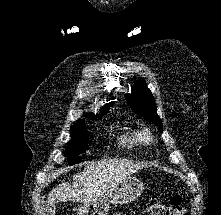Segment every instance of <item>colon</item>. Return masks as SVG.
Returning a JSON list of instances; mask_svg holds the SVG:
<instances>
[{
  "label": "colon",
  "mask_w": 221,
  "mask_h": 215,
  "mask_svg": "<svg viewBox=\"0 0 221 215\" xmlns=\"http://www.w3.org/2000/svg\"><path fill=\"white\" fill-rule=\"evenodd\" d=\"M149 215H188L180 195L170 192L169 204H153L147 209Z\"/></svg>",
  "instance_id": "colon-1"
}]
</instances>
